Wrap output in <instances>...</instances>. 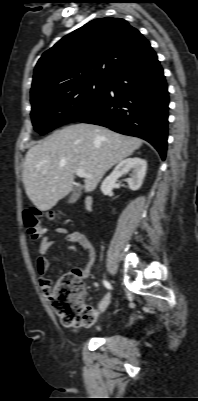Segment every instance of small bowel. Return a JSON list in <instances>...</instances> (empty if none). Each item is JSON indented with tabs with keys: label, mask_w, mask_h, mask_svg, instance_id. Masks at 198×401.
Instances as JSON below:
<instances>
[{
	"label": "small bowel",
	"mask_w": 198,
	"mask_h": 401,
	"mask_svg": "<svg viewBox=\"0 0 198 401\" xmlns=\"http://www.w3.org/2000/svg\"><path fill=\"white\" fill-rule=\"evenodd\" d=\"M58 241L67 242L68 248L71 250L81 249L85 252L87 256V262L83 267L78 270L80 276L84 278L88 277L95 261L96 254L94 246L90 239L84 233L78 230L68 231L63 227L55 228L52 231V235L44 237L37 248V258L35 265L39 276V284L41 286V289L45 293H48V291L51 289V282L46 277V272L49 268L47 252ZM106 303L107 300L105 302L102 301L97 308L92 309L94 314L96 315L99 310L101 311L105 307Z\"/></svg>",
	"instance_id": "1"
}]
</instances>
